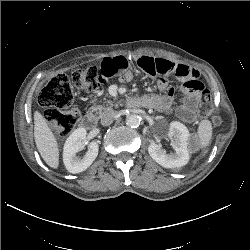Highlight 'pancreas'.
<instances>
[{"mask_svg": "<svg viewBox=\"0 0 250 250\" xmlns=\"http://www.w3.org/2000/svg\"><path fill=\"white\" fill-rule=\"evenodd\" d=\"M112 107H118V104H114L113 102H107L106 104H102V105H96L95 107L91 108L92 112H95L96 114H98L100 117L107 111L111 110Z\"/></svg>", "mask_w": 250, "mask_h": 250, "instance_id": "obj_1", "label": "pancreas"}]
</instances>
